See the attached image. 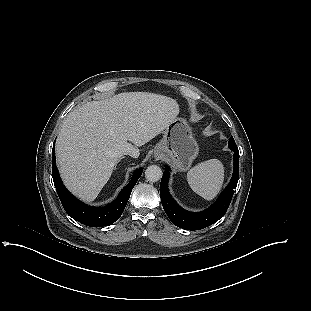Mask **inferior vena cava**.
<instances>
[{"mask_svg":"<svg viewBox=\"0 0 311 311\" xmlns=\"http://www.w3.org/2000/svg\"><path fill=\"white\" fill-rule=\"evenodd\" d=\"M138 152V149L136 146L134 145H131L129 147H127L125 150H124V153L127 155V156H130V157H133L134 155H136Z\"/></svg>","mask_w":311,"mask_h":311,"instance_id":"obj_1","label":"inferior vena cava"}]
</instances>
